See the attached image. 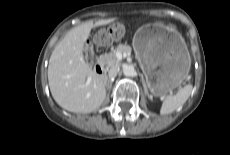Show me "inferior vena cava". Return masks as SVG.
<instances>
[{
  "mask_svg": "<svg viewBox=\"0 0 230 155\" xmlns=\"http://www.w3.org/2000/svg\"><path fill=\"white\" fill-rule=\"evenodd\" d=\"M119 71V67L115 66V67H112L109 71H108V77L109 79H114L117 75Z\"/></svg>",
  "mask_w": 230,
  "mask_h": 155,
  "instance_id": "inferior-vena-cava-1",
  "label": "inferior vena cava"
}]
</instances>
